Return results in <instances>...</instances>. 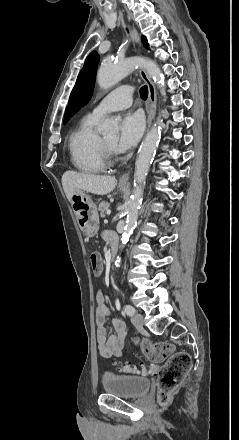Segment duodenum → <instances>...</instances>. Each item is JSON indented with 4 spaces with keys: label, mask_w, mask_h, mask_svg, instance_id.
Returning <instances> with one entry per match:
<instances>
[{
    "label": "duodenum",
    "mask_w": 239,
    "mask_h": 440,
    "mask_svg": "<svg viewBox=\"0 0 239 440\" xmlns=\"http://www.w3.org/2000/svg\"><path fill=\"white\" fill-rule=\"evenodd\" d=\"M117 252H118L117 242H112L111 246H110V253H109L110 258L113 259L116 256Z\"/></svg>",
    "instance_id": "410a0bca"
}]
</instances>
